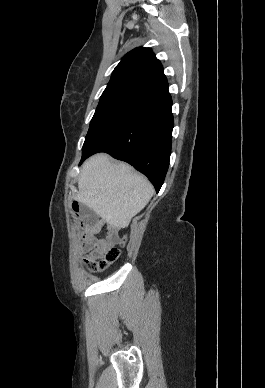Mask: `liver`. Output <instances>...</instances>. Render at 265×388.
Listing matches in <instances>:
<instances>
[{"mask_svg": "<svg viewBox=\"0 0 265 388\" xmlns=\"http://www.w3.org/2000/svg\"><path fill=\"white\" fill-rule=\"evenodd\" d=\"M75 196L94 210L111 228H128L150 202L154 188L144 176L123 162H112L108 154H96L84 162Z\"/></svg>", "mask_w": 265, "mask_h": 388, "instance_id": "1", "label": "liver"}]
</instances>
